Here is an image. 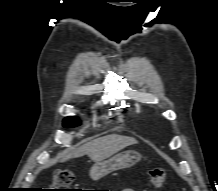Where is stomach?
I'll list each match as a JSON object with an SVG mask.
<instances>
[{"mask_svg":"<svg viewBox=\"0 0 218 191\" xmlns=\"http://www.w3.org/2000/svg\"><path fill=\"white\" fill-rule=\"evenodd\" d=\"M140 159V154L134 151L119 153L107 160L95 163L90 170V178L99 180L113 171L132 167Z\"/></svg>","mask_w":218,"mask_h":191,"instance_id":"obj_1","label":"stomach"}]
</instances>
